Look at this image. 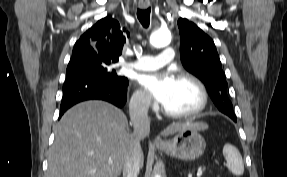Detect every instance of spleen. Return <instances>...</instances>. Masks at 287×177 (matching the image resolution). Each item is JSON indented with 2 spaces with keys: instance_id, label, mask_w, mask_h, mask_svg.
I'll use <instances>...</instances> for the list:
<instances>
[{
  "instance_id": "spleen-1",
  "label": "spleen",
  "mask_w": 287,
  "mask_h": 177,
  "mask_svg": "<svg viewBox=\"0 0 287 177\" xmlns=\"http://www.w3.org/2000/svg\"><path fill=\"white\" fill-rule=\"evenodd\" d=\"M223 155L226 159L227 167L232 174L240 176L244 173L243 160L235 146L225 144L223 147Z\"/></svg>"
}]
</instances>
